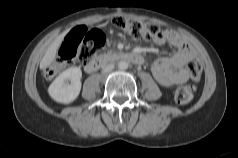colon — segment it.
Masks as SVG:
<instances>
[{"instance_id":"1","label":"colon","mask_w":238,"mask_h":158,"mask_svg":"<svg viewBox=\"0 0 238 158\" xmlns=\"http://www.w3.org/2000/svg\"><path fill=\"white\" fill-rule=\"evenodd\" d=\"M113 24L125 34L140 40L153 41L163 35L164 31L153 23L141 22L124 17H115ZM104 34L96 29L84 26L73 28L62 40L57 50V56L44 71L47 79L55 77L62 69L75 61L88 64L99 48L104 45ZM187 70L193 79L200 78L202 64L198 59L187 63ZM196 92L195 84L179 87L175 92V101L180 105L188 104Z\"/></svg>"}]
</instances>
